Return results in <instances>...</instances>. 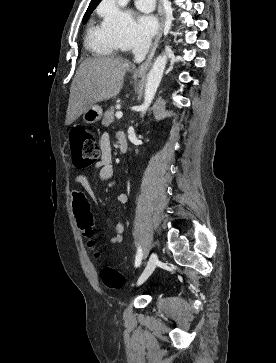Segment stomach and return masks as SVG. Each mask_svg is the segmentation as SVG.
Listing matches in <instances>:
<instances>
[{"mask_svg": "<svg viewBox=\"0 0 276 363\" xmlns=\"http://www.w3.org/2000/svg\"><path fill=\"white\" fill-rule=\"evenodd\" d=\"M103 110L99 105H91L83 112V120L87 124H94L102 117Z\"/></svg>", "mask_w": 276, "mask_h": 363, "instance_id": "0dacf381", "label": "stomach"}]
</instances>
